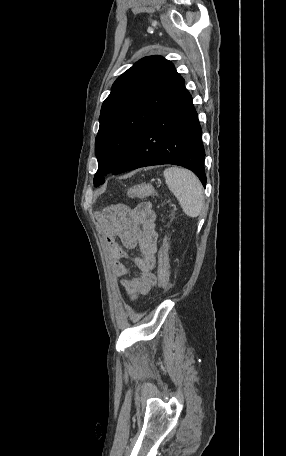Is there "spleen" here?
Listing matches in <instances>:
<instances>
[{"mask_svg": "<svg viewBox=\"0 0 286 456\" xmlns=\"http://www.w3.org/2000/svg\"><path fill=\"white\" fill-rule=\"evenodd\" d=\"M163 176L169 190L178 199L184 213L198 217L204 206L203 187L198 177L187 169L170 167Z\"/></svg>", "mask_w": 286, "mask_h": 456, "instance_id": "1", "label": "spleen"}]
</instances>
